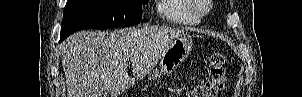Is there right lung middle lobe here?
Listing matches in <instances>:
<instances>
[{
    "instance_id": "dd1d6c3e",
    "label": "right lung middle lobe",
    "mask_w": 302,
    "mask_h": 97,
    "mask_svg": "<svg viewBox=\"0 0 302 97\" xmlns=\"http://www.w3.org/2000/svg\"><path fill=\"white\" fill-rule=\"evenodd\" d=\"M147 0H67L61 40L77 30L129 27L141 19Z\"/></svg>"
}]
</instances>
